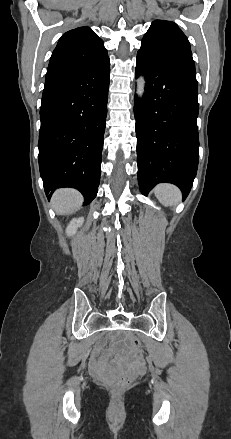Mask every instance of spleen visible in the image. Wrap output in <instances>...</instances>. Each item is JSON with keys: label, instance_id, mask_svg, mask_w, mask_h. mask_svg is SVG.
<instances>
[{"label": "spleen", "instance_id": "3e777b00", "mask_svg": "<svg viewBox=\"0 0 231 439\" xmlns=\"http://www.w3.org/2000/svg\"><path fill=\"white\" fill-rule=\"evenodd\" d=\"M154 193L164 206H175L181 200V191L172 184H158L154 188Z\"/></svg>", "mask_w": 231, "mask_h": 439}]
</instances>
